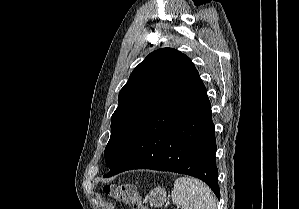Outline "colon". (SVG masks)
<instances>
[{
	"label": "colon",
	"mask_w": 299,
	"mask_h": 209,
	"mask_svg": "<svg viewBox=\"0 0 299 209\" xmlns=\"http://www.w3.org/2000/svg\"><path fill=\"white\" fill-rule=\"evenodd\" d=\"M103 192L113 199L124 203H131L132 209H147L138 197L136 187L131 183L107 184Z\"/></svg>",
	"instance_id": "obj_1"
}]
</instances>
